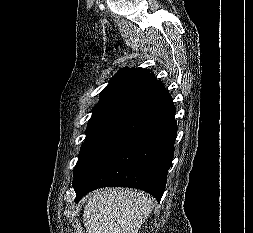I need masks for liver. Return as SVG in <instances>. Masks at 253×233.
Here are the masks:
<instances>
[{"mask_svg":"<svg viewBox=\"0 0 253 233\" xmlns=\"http://www.w3.org/2000/svg\"><path fill=\"white\" fill-rule=\"evenodd\" d=\"M153 206V201L141 191H95L84 207L86 233H138Z\"/></svg>","mask_w":253,"mask_h":233,"instance_id":"1","label":"liver"}]
</instances>
